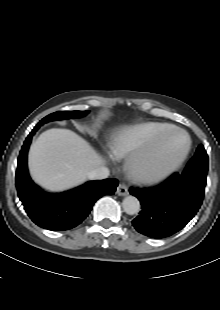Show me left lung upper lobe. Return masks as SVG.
<instances>
[{
	"label": "left lung upper lobe",
	"mask_w": 220,
	"mask_h": 310,
	"mask_svg": "<svg viewBox=\"0 0 220 310\" xmlns=\"http://www.w3.org/2000/svg\"><path fill=\"white\" fill-rule=\"evenodd\" d=\"M207 171H208V156L203 145H199L195 155L188 162L183 173L193 175L194 174L207 175Z\"/></svg>",
	"instance_id": "left-lung-upper-lobe-1"
}]
</instances>
